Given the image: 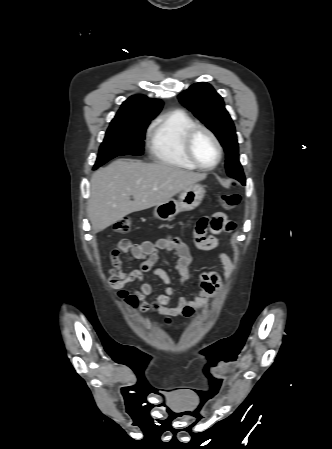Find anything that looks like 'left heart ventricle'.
Masks as SVG:
<instances>
[{
    "label": "left heart ventricle",
    "mask_w": 332,
    "mask_h": 449,
    "mask_svg": "<svg viewBox=\"0 0 332 449\" xmlns=\"http://www.w3.org/2000/svg\"><path fill=\"white\" fill-rule=\"evenodd\" d=\"M193 153L205 166L212 165L217 159V149L212 139L205 132H198L192 142Z\"/></svg>",
    "instance_id": "obj_1"
}]
</instances>
